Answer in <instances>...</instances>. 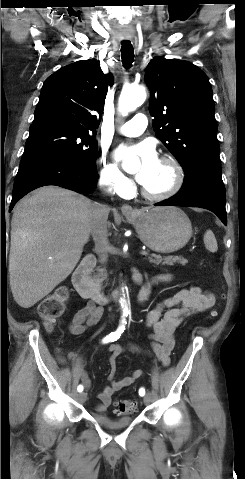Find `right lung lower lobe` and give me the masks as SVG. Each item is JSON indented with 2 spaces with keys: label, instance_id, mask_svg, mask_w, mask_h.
Returning a JSON list of instances; mask_svg holds the SVG:
<instances>
[{
  "label": "right lung lower lobe",
  "instance_id": "1",
  "mask_svg": "<svg viewBox=\"0 0 245 479\" xmlns=\"http://www.w3.org/2000/svg\"><path fill=\"white\" fill-rule=\"evenodd\" d=\"M96 169L59 158H47L20 165L14 181L9 211L16 202L32 190L56 185L78 193H90L96 187Z\"/></svg>",
  "mask_w": 245,
  "mask_h": 479
}]
</instances>
